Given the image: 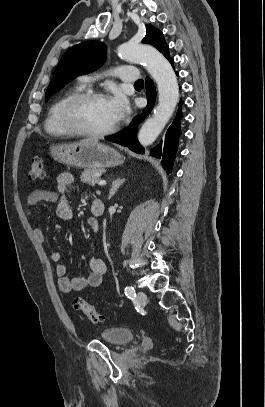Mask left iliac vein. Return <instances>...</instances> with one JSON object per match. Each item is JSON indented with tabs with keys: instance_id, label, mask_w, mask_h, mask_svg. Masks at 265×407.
Listing matches in <instances>:
<instances>
[{
	"instance_id": "obj_1",
	"label": "left iliac vein",
	"mask_w": 265,
	"mask_h": 407,
	"mask_svg": "<svg viewBox=\"0 0 265 407\" xmlns=\"http://www.w3.org/2000/svg\"><path fill=\"white\" fill-rule=\"evenodd\" d=\"M136 300L139 304H144L146 302V294L143 291H138Z\"/></svg>"
}]
</instances>
